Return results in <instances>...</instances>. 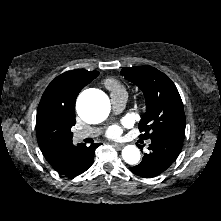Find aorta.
I'll return each instance as SVG.
<instances>
[{
	"instance_id": "1",
	"label": "aorta",
	"mask_w": 221,
	"mask_h": 221,
	"mask_svg": "<svg viewBox=\"0 0 221 221\" xmlns=\"http://www.w3.org/2000/svg\"><path fill=\"white\" fill-rule=\"evenodd\" d=\"M110 111L108 98L99 93L81 95L77 100V112L86 122L95 123L104 120ZM124 161L130 165L140 160V151L134 145H127L122 150Z\"/></svg>"
}]
</instances>
